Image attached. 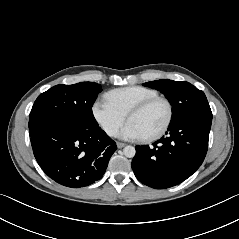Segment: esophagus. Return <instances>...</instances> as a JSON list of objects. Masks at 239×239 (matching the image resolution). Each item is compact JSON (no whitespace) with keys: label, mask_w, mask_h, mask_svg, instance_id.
I'll return each mask as SVG.
<instances>
[{"label":"esophagus","mask_w":239,"mask_h":239,"mask_svg":"<svg viewBox=\"0 0 239 239\" xmlns=\"http://www.w3.org/2000/svg\"><path fill=\"white\" fill-rule=\"evenodd\" d=\"M116 144L118 148H123L126 145L125 143L122 142H117Z\"/></svg>","instance_id":"esophagus-1"}]
</instances>
